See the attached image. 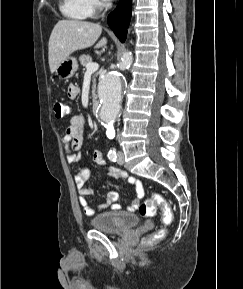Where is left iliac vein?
<instances>
[{
    "instance_id": "obj_1",
    "label": "left iliac vein",
    "mask_w": 243,
    "mask_h": 289,
    "mask_svg": "<svg viewBox=\"0 0 243 289\" xmlns=\"http://www.w3.org/2000/svg\"><path fill=\"white\" fill-rule=\"evenodd\" d=\"M118 164L123 165L124 164V153L119 152L118 153V159H117Z\"/></svg>"
}]
</instances>
